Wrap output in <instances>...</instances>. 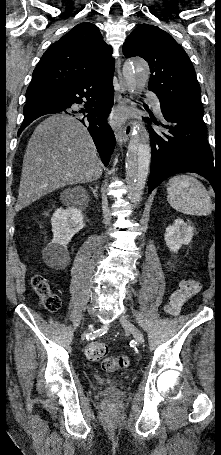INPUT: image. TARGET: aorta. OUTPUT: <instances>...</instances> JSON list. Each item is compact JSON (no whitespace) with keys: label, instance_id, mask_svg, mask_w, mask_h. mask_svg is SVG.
Here are the masks:
<instances>
[{"label":"aorta","instance_id":"obj_1","mask_svg":"<svg viewBox=\"0 0 221 455\" xmlns=\"http://www.w3.org/2000/svg\"><path fill=\"white\" fill-rule=\"evenodd\" d=\"M149 66L139 58L128 59L123 66V76L129 89L144 88L149 79ZM151 147L148 132L135 124L126 156V182L129 198L133 203L141 200L149 173Z\"/></svg>","mask_w":221,"mask_h":455}]
</instances>
